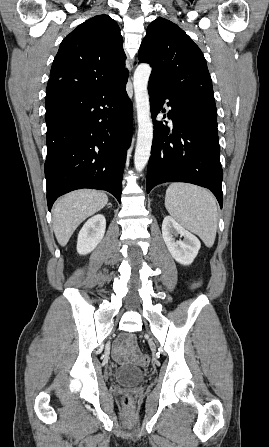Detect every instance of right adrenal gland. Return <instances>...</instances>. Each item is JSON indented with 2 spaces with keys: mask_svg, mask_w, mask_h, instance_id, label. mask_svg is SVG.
<instances>
[{
  "mask_svg": "<svg viewBox=\"0 0 269 447\" xmlns=\"http://www.w3.org/2000/svg\"><path fill=\"white\" fill-rule=\"evenodd\" d=\"M109 208H111L112 204H108Z\"/></svg>",
  "mask_w": 269,
  "mask_h": 447,
  "instance_id": "1",
  "label": "right adrenal gland"
}]
</instances>
